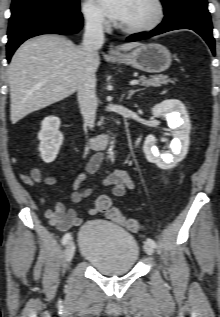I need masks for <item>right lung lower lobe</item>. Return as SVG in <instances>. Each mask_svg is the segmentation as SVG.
Segmentation results:
<instances>
[{"mask_svg": "<svg viewBox=\"0 0 220 317\" xmlns=\"http://www.w3.org/2000/svg\"><path fill=\"white\" fill-rule=\"evenodd\" d=\"M82 14L56 10H30L10 17L8 28L7 60L18 46L30 37L40 34H70L82 27Z\"/></svg>", "mask_w": 220, "mask_h": 317, "instance_id": "right-lung-lower-lobe-1", "label": "right lung lower lobe"}]
</instances>
